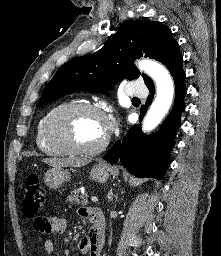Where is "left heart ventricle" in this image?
Here are the masks:
<instances>
[{
  "label": "left heart ventricle",
  "mask_w": 221,
  "mask_h": 256,
  "mask_svg": "<svg viewBox=\"0 0 221 256\" xmlns=\"http://www.w3.org/2000/svg\"><path fill=\"white\" fill-rule=\"evenodd\" d=\"M65 129L75 145L92 147L105 137L107 124L102 117L93 112L78 111L68 116Z\"/></svg>",
  "instance_id": "obj_1"
}]
</instances>
